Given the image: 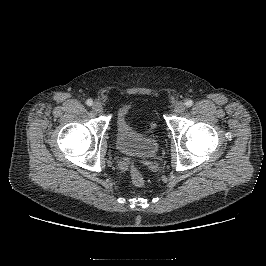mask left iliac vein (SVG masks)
I'll use <instances>...</instances> for the list:
<instances>
[{"label": "left iliac vein", "mask_w": 266, "mask_h": 266, "mask_svg": "<svg viewBox=\"0 0 266 266\" xmlns=\"http://www.w3.org/2000/svg\"><path fill=\"white\" fill-rule=\"evenodd\" d=\"M186 109V105L183 102H178L175 107H174V112L177 114H180L182 112H184Z\"/></svg>", "instance_id": "4c4485c4"}]
</instances>
